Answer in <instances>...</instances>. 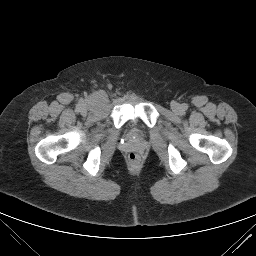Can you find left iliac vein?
<instances>
[{"instance_id": "obj_1", "label": "left iliac vein", "mask_w": 256, "mask_h": 256, "mask_svg": "<svg viewBox=\"0 0 256 256\" xmlns=\"http://www.w3.org/2000/svg\"><path fill=\"white\" fill-rule=\"evenodd\" d=\"M171 108L172 110L175 112V113H180L181 112V105L176 103V102H173L172 105H171Z\"/></svg>"}]
</instances>
